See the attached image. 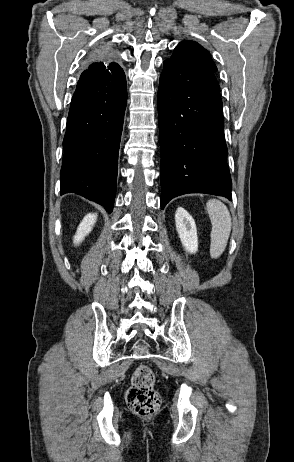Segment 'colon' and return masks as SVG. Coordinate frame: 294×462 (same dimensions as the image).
Returning a JSON list of instances; mask_svg holds the SVG:
<instances>
[{"label": "colon", "mask_w": 294, "mask_h": 462, "mask_svg": "<svg viewBox=\"0 0 294 462\" xmlns=\"http://www.w3.org/2000/svg\"><path fill=\"white\" fill-rule=\"evenodd\" d=\"M155 374L147 365H139L133 375L126 394L129 408L140 416L154 414L161 405V397L154 389Z\"/></svg>", "instance_id": "5ec220e1"}]
</instances>
